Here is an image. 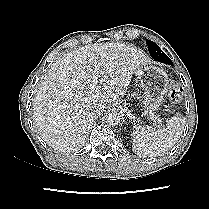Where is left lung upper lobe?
Masks as SVG:
<instances>
[{"instance_id":"obj_1","label":"left lung upper lobe","mask_w":209,"mask_h":209,"mask_svg":"<svg viewBox=\"0 0 209 209\" xmlns=\"http://www.w3.org/2000/svg\"><path fill=\"white\" fill-rule=\"evenodd\" d=\"M146 44L148 46L149 53L151 57L161 63L173 65L170 58L156 45L154 42L146 40Z\"/></svg>"}]
</instances>
